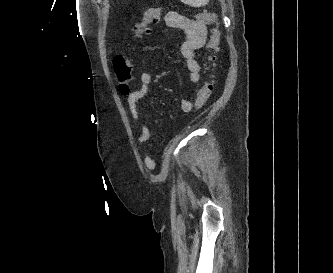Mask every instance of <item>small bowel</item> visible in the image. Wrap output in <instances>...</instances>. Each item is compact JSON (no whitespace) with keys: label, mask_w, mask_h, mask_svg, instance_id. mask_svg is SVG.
I'll use <instances>...</instances> for the list:
<instances>
[{"label":"small bowel","mask_w":333,"mask_h":273,"mask_svg":"<svg viewBox=\"0 0 333 273\" xmlns=\"http://www.w3.org/2000/svg\"><path fill=\"white\" fill-rule=\"evenodd\" d=\"M160 17L167 26L183 31L179 44L180 52L189 71L190 81L198 83L201 78L202 67L197 60V53L204 46L207 39L206 25L175 11L160 10ZM139 79L140 87L128 93L126 100L130 115L140 128L138 143L143 144L148 140L150 133L138 111V102L148 94L149 86L153 81V74L150 70L144 69L141 71ZM179 106L181 111L190 112L195 106L194 100L192 98H183ZM144 163L148 169H153L155 166L154 160L148 153L144 155Z\"/></svg>","instance_id":"small-bowel-1"}]
</instances>
